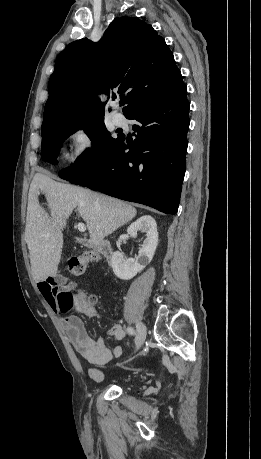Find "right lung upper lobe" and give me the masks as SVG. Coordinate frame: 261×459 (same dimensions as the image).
Segmentation results:
<instances>
[{
    "label": "right lung upper lobe",
    "instance_id": "right-lung-upper-lobe-1",
    "mask_svg": "<svg viewBox=\"0 0 261 459\" xmlns=\"http://www.w3.org/2000/svg\"><path fill=\"white\" fill-rule=\"evenodd\" d=\"M182 76L165 40L134 17L115 19L98 43L87 39L70 43L58 56L49 80L42 131L67 123L103 120L96 94L112 98L128 91V117L140 106L174 92ZM123 96V95H121Z\"/></svg>",
    "mask_w": 261,
    "mask_h": 459
}]
</instances>
